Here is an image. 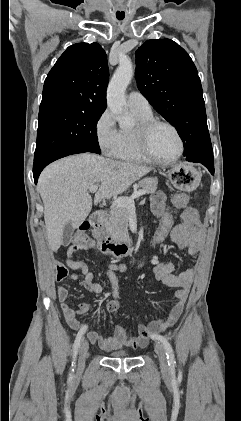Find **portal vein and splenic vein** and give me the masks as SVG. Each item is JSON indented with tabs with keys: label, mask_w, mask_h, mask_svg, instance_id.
Masks as SVG:
<instances>
[{
	"label": "portal vein and splenic vein",
	"mask_w": 241,
	"mask_h": 421,
	"mask_svg": "<svg viewBox=\"0 0 241 421\" xmlns=\"http://www.w3.org/2000/svg\"><path fill=\"white\" fill-rule=\"evenodd\" d=\"M97 190H98L97 184H94L89 187V191L91 193H95ZM145 194H146L145 191L139 190V191H135L130 197H119L112 202V207L134 208L135 207L134 199Z\"/></svg>",
	"instance_id": "1"
}]
</instances>
